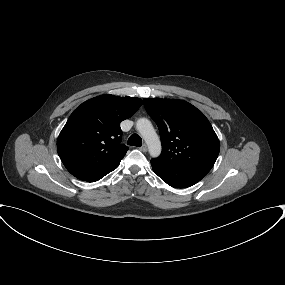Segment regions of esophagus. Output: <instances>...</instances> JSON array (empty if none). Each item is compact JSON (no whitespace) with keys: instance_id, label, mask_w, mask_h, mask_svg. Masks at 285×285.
<instances>
[{"instance_id":"esophagus-1","label":"esophagus","mask_w":285,"mask_h":285,"mask_svg":"<svg viewBox=\"0 0 285 285\" xmlns=\"http://www.w3.org/2000/svg\"><path fill=\"white\" fill-rule=\"evenodd\" d=\"M147 145L146 144H143L142 145V147L140 148V150L142 151V152H147Z\"/></svg>"}]
</instances>
